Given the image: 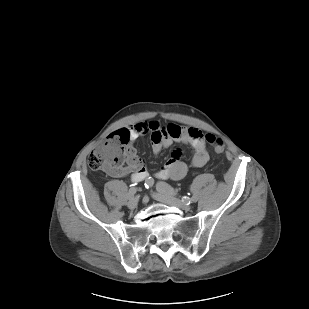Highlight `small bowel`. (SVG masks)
Instances as JSON below:
<instances>
[{
	"instance_id": "obj_1",
	"label": "small bowel",
	"mask_w": 309,
	"mask_h": 309,
	"mask_svg": "<svg viewBox=\"0 0 309 309\" xmlns=\"http://www.w3.org/2000/svg\"><path fill=\"white\" fill-rule=\"evenodd\" d=\"M117 133L127 138L126 165L117 171L110 172L114 177L121 178L131 175V179L138 182L148 177V171L144 161L137 156L133 147L134 142L142 135L149 134L152 141V148L158 154L163 148L170 146L174 142L187 144L193 155L189 162L182 159V150L173 151L170 160L164 164L155 176L159 179L180 180L190 168H200L209 159V153L205 145L202 132L195 127H183L176 123H169L162 126L159 121H142L128 128H122Z\"/></svg>"
}]
</instances>
